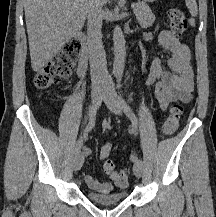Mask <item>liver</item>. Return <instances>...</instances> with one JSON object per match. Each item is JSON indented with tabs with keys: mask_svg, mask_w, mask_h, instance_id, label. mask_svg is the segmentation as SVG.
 Segmentation results:
<instances>
[{
	"mask_svg": "<svg viewBox=\"0 0 216 217\" xmlns=\"http://www.w3.org/2000/svg\"><path fill=\"white\" fill-rule=\"evenodd\" d=\"M108 0H24L31 66L40 71L84 26L93 5Z\"/></svg>",
	"mask_w": 216,
	"mask_h": 217,
	"instance_id": "6515ba94",
	"label": "liver"
}]
</instances>
